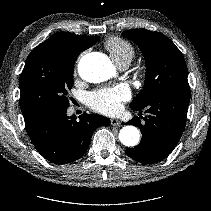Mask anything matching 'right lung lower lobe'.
Here are the masks:
<instances>
[{
	"label": "right lung lower lobe",
	"instance_id": "98d812e1",
	"mask_svg": "<svg viewBox=\"0 0 211 211\" xmlns=\"http://www.w3.org/2000/svg\"><path fill=\"white\" fill-rule=\"evenodd\" d=\"M67 108H50L24 119L27 133L37 151L48 161L67 164L86 152L94 130L109 126L110 120L97 114L67 116Z\"/></svg>",
	"mask_w": 211,
	"mask_h": 211
}]
</instances>
